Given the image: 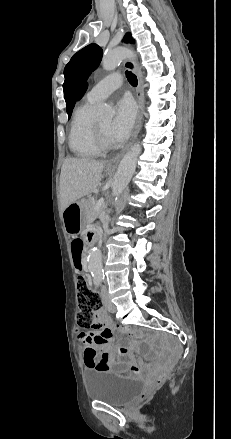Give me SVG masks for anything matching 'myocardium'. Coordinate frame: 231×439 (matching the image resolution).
Listing matches in <instances>:
<instances>
[{
    "mask_svg": "<svg viewBox=\"0 0 231 439\" xmlns=\"http://www.w3.org/2000/svg\"><path fill=\"white\" fill-rule=\"evenodd\" d=\"M95 141L99 150L108 151L113 149L115 146L111 143L103 133L97 121H95Z\"/></svg>",
    "mask_w": 231,
    "mask_h": 439,
    "instance_id": "1",
    "label": "myocardium"
}]
</instances>
